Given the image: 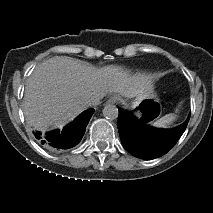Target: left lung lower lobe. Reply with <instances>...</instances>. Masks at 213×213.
Wrapping results in <instances>:
<instances>
[{
	"mask_svg": "<svg viewBox=\"0 0 213 213\" xmlns=\"http://www.w3.org/2000/svg\"><path fill=\"white\" fill-rule=\"evenodd\" d=\"M189 118L176 128L159 130L149 126L147 119H137L119 108L117 127L126 150L141 159H154L172 149L185 131Z\"/></svg>",
	"mask_w": 213,
	"mask_h": 213,
	"instance_id": "0a47b994",
	"label": "left lung lower lobe"
}]
</instances>
